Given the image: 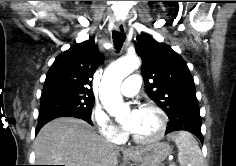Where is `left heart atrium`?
<instances>
[{
	"mask_svg": "<svg viewBox=\"0 0 236 166\" xmlns=\"http://www.w3.org/2000/svg\"><path fill=\"white\" fill-rule=\"evenodd\" d=\"M138 122H139V111L134 110L130 113L129 117L123 124V128L125 131L129 133H134L137 129Z\"/></svg>",
	"mask_w": 236,
	"mask_h": 166,
	"instance_id": "39dd6f15",
	"label": "left heart atrium"
}]
</instances>
